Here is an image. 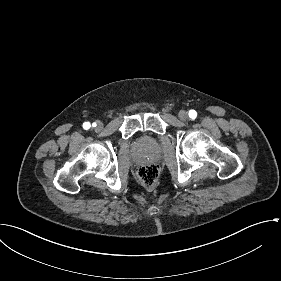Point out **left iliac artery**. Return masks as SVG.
<instances>
[{
    "label": "left iliac artery",
    "instance_id": "obj_1",
    "mask_svg": "<svg viewBox=\"0 0 281 281\" xmlns=\"http://www.w3.org/2000/svg\"><path fill=\"white\" fill-rule=\"evenodd\" d=\"M196 116H197V113H196L195 110H190V111H189V117H190L191 119H195Z\"/></svg>",
    "mask_w": 281,
    "mask_h": 281
}]
</instances>
